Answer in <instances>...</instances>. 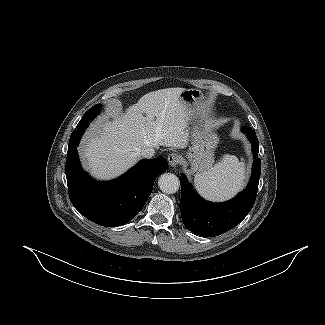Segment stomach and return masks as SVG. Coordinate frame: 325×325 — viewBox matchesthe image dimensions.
Instances as JSON below:
<instances>
[{
  "instance_id": "1",
  "label": "stomach",
  "mask_w": 325,
  "mask_h": 325,
  "mask_svg": "<svg viewBox=\"0 0 325 325\" xmlns=\"http://www.w3.org/2000/svg\"><path fill=\"white\" fill-rule=\"evenodd\" d=\"M180 98L189 108L194 110L198 118H201L203 94L200 90L185 89L181 93ZM218 143V135L200 120L191 132V145L185 154L190 163L192 174L201 173L212 166L214 150Z\"/></svg>"
}]
</instances>
